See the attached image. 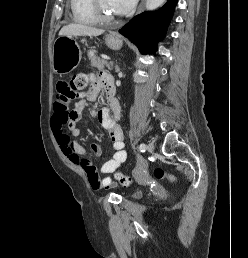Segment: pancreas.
Masks as SVG:
<instances>
[{
  "label": "pancreas",
  "mask_w": 248,
  "mask_h": 258,
  "mask_svg": "<svg viewBox=\"0 0 248 258\" xmlns=\"http://www.w3.org/2000/svg\"><path fill=\"white\" fill-rule=\"evenodd\" d=\"M88 58L91 61V66L93 67L104 69L105 66H109L107 61L102 60L95 55V50L88 51Z\"/></svg>",
  "instance_id": "1"
}]
</instances>
